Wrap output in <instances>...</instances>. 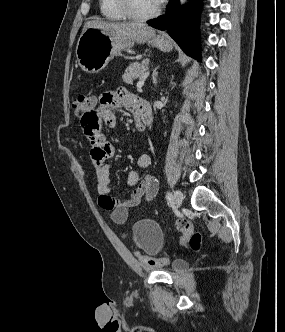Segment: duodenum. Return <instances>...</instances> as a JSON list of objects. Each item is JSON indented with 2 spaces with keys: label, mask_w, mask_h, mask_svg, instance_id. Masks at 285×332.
Returning <instances> with one entry per match:
<instances>
[{
  "label": "duodenum",
  "mask_w": 285,
  "mask_h": 332,
  "mask_svg": "<svg viewBox=\"0 0 285 332\" xmlns=\"http://www.w3.org/2000/svg\"><path fill=\"white\" fill-rule=\"evenodd\" d=\"M137 109L143 126H150L152 123V110L150 104L143 99H137Z\"/></svg>",
  "instance_id": "1"
}]
</instances>
